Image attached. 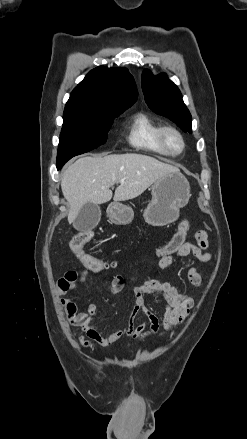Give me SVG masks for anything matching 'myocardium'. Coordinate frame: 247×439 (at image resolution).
<instances>
[{
	"label": "myocardium",
	"instance_id": "myocardium-1",
	"mask_svg": "<svg viewBox=\"0 0 247 439\" xmlns=\"http://www.w3.org/2000/svg\"><path fill=\"white\" fill-rule=\"evenodd\" d=\"M169 135H174L176 136L179 141H180V148L178 150H173L169 144H168V136ZM159 142L161 144V146L163 147V149L165 150V152L168 155H172V156H176L181 154L184 149H185V140L183 135L181 134V132L170 125H166V126H161L160 131H159Z\"/></svg>",
	"mask_w": 247,
	"mask_h": 439
}]
</instances>
